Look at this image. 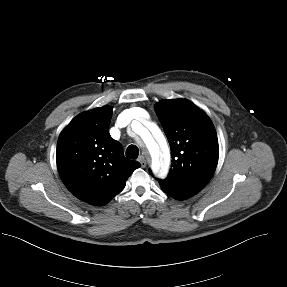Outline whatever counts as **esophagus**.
Returning a JSON list of instances; mask_svg holds the SVG:
<instances>
[{
	"instance_id": "34e87169",
	"label": "esophagus",
	"mask_w": 287,
	"mask_h": 287,
	"mask_svg": "<svg viewBox=\"0 0 287 287\" xmlns=\"http://www.w3.org/2000/svg\"><path fill=\"white\" fill-rule=\"evenodd\" d=\"M139 162H140V164H141V167H143V168L146 167L147 161H146V159H145L144 156H140Z\"/></svg>"
}]
</instances>
